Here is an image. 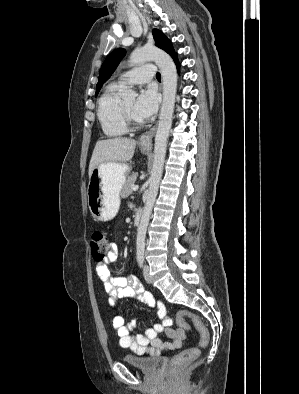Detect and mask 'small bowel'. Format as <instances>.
I'll list each match as a JSON object with an SVG mask.
<instances>
[{"label":"small bowel","instance_id":"obj_1","mask_svg":"<svg viewBox=\"0 0 299 394\" xmlns=\"http://www.w3.org/2000/svg\"><path fill=\"white\" fill-rule=\"evenodd\" d=\"M118 257V247L111 244L107 256L97 263L96 273L102 281L108 293V303L112 308L121 298H138L149 307L155 308L160 323H156L145 330L143 334L134 335L138 320L134 319L125 323L123 316L117 315L113 319V327L119 336V344L123 348L132 350L139 355L157 356L164 351L180 348L182 341L186 338L184 327L178 324L173 327V320L167 314L163 302L157 299L151 292L144 290L138 278L135 276L114 275L108 265L115 262ZM164 333L165 337L158 335Z\"/></svg>","mask_w":299,"mask_h":394}]
</instances>
